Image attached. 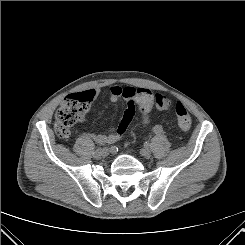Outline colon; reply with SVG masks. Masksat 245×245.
<instances>
[{
	"label": "colon",
	"instance_id": "colon-1",
	"mask_svg": "<svg viewBox=\"0 0 245 245\" xmlns=\"http://www.w3.org/2000/svg\"><path fill=\"white\" fill-rule=\"evenodd\" d=\"M153 93L148 89L139 88L136 90L135 100L142 114L145 124L149 123V112L153 105ZM95 92L92 90L69 95L55 116L54 129L57 136L67 139L70 136V129L78 123L88 110L89 103L93 100ZM177 123L182 131H188L191 127V117L185 106L178 102L175 105Z\"/></svg>",
	"mask_w": 245,
	"mask_h": 245
}]
</instances>
